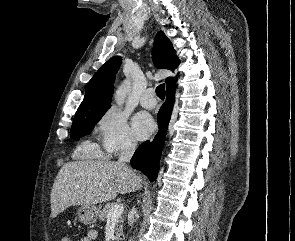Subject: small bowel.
I'll return each instance as SVG.
<instances>
[{"label": "small bowel", "mask_w": 295, "mask_h": 241, "mask_svg": "<svg viewBox=\"0 0 295 241\" xmlns=\"http://www.w3.org/2000/svg\"><path fill=\"white\" fill-rule=\"evenodd\" d=\"M98 237L96 230H88L81 241H94ZM61 241H71L70 239L63 238Z\"/></svg>", "instance_id": "c3829d8e"}]
</instances>
